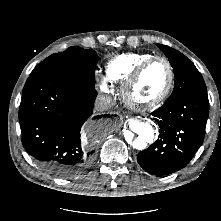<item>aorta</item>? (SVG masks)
I'll return each mask as SVG.
<instances>
[{
    "label": "aorta",
    "mask_w": 221,
    "mask_h": 221,
    "mask_svg": "<svg viewBox=\"0 0 221 221\" xmlns=\"http://www.w3.org/2000/svg\"><path fill=\"white\" fill-rule=\"evenodd\" d=\"M131 131H125L124 137L126 142L133 148L142 150L147 146V142L154 139V129L151 123L135 119L130 124Z\"/></svg>",
    "instance_id": "1"
}]
</instances>
